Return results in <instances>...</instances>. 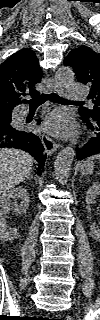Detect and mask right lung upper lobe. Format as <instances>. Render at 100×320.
Returning a JSON list of instances; mask_svg holds the SVG:
<instances>
[{
  "label": "right lung upper lobe",
  "mask_w": 100,
  "mask_h": 320,
  "mask_svg": "<svg viewBox=\"0 0 100 320\" xmlns=\"http://www.w3.org/2000/svg\"><path fill=\"white\" fill-rule=\"evenodd\" d=\"M42 71L35 53L21 49L0 66V120L11 119L14 107L26 101L22 96L39 95L35 84L41 81Z\"/></svg>",
  "instance_id": "1"
}]
</instances>
